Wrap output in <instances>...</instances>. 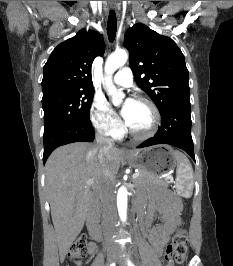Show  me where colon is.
I'll return each mask as SVG.
<instances>
[{
    "label": "colon",
    "mask_w": 233,
    "mask_h": 266,
    "mask_svg": "<svg viewBox=\"0 0 233 266\" xmlns=\"http://www.w3.org/2000/svg\"><path fill=\"white\" fill-rule=\"evenodd\" d=\"M87 250V237L80 235L72 244L69 257L71 261L77 262L83 258ZM187 237L184 229H179L173 236L171 242L167 245L165 251V261L167 266H174V263L181 265L185 262L187 256Z\"/></svg>",
    "instance_id": "5ec220e1"
}]
</instances>
